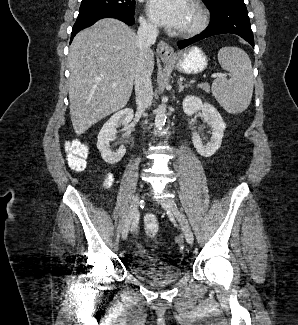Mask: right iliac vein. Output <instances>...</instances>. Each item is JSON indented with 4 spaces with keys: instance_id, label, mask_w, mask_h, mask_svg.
I'll use <instances>...</instances> for the list:
<instances>
[{
    "instance_id": "right-iliac-vein-1",
    "label": "right iliac vein",
    "mask_w": 298,
    "mask_h": 325,
    "mask_svg": "<svg viewBox=\"0 0 298 325\" xmlns=\"http://www.w3.org/2000/svg\"><path fill=\"white\" fill-rule=\"evenodd\" d=\"M139 201H140L139 194H135L132 198L129 211H128L127 217L125 219L123 228H122V238L123 239H126L128 236V232L130 230L132 220H133L135 213L137 212L138 207H139Z\"/></svg>"
}]
</instances>
